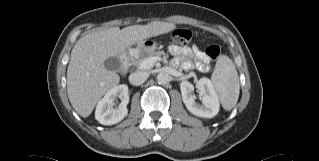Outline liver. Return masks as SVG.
I'll list each match as a JSON object with an SVG mask.
<instances>
[{
  "instance_id": "6515ba94",
  "label": "liver",
  "mask_w": 319,
  "mask_h": 161,
  "mask_svg": "<svg viewBox=\"0 0 319 161\" xmlns=\"http://www.w3.org/2000/svg\"><path fill=\"white\" fill-rule=\"evenodd\" d=\"M175 28L174 23L153 21L123 29H102L81 37L71 51L67 68V93L74 110L88 117L102 96L119 83V75L104 67L108 58L121 55L143 39Z\"/></svg>"
}]
</instances>
